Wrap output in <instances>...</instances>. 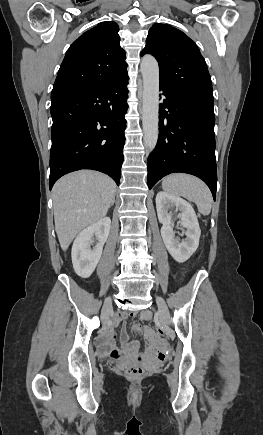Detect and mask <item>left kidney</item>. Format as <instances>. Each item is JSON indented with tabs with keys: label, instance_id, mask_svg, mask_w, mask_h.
<instances>
[{
	"label": "left kidney",
	"instance_id": "5707ae66",
	"mask_svg": "<svg viewBox=\"0 0 263 435\" xmlns=\"http://www.w3.org/2000/svg\"><path fill=\"white\" fill-rule=\"evenodd\" d=\"M156 209L159 222L162 223L161 236L163 242L175 261L183 263L196 251L199 245L201 230L196 213L189 202L179 196L160 191L156 195ZM174 212L180 211L179 223L186 229V238L175 237L172 225Z\"/></svg>",
	"mask_w": 263,
	"mask_h": 435
}]
</instances>
